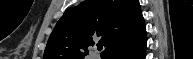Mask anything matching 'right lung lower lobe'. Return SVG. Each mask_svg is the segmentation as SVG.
<instances>
[{
  "label": "right lung lower lobe",
  "mask_w": 193,
  "mask_h": 59,
  "mask_svg": "<svg viewBox=\"0 0 193 59\" xmlns=\"http://www.w3.org/2000/svg\"><path fill=\"white\" fill-rule=\"evenodd\" d=\"M146 31L137 38L121 46L105 59H145Z\"/></svg>",
  "instance_id": "obj_1"
}]
</instances>
